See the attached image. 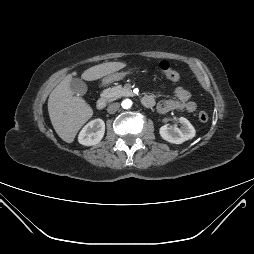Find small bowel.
<instances>
[{"label":"small bowel","mask_w":254,"mask_h":254,"mask_svg":"<svg viewBox=\"0 0 254 254\" xmlns=\"http://www.w3.org/2000/svg\"><path fill=\"white\" fill-rule=\"evenodd\" d=\"M174 96L175 99H166L160 101L157 104L158 112L167 113L172 110H185L187 112H194L196 110L197 105L194 101L191 100V94L187 89L183 87H176L174 89Z\"/></svg>","instance_id":"obj_1"}]
</instances>
